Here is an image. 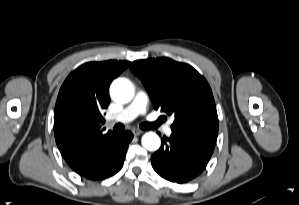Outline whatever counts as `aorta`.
I'll list each match as a JSON object with an SVG mask.
<instances>
[{
	"mask_svg": "<svg viewBox=\"0 0 299 205\" xmlns=\"http://www.w3.org/2000/svg\"><path fill=\"white\" fill-rule=\"evenodd\" d=\"M110 94L115 101L127 103L133 98L134 89L129 80L119 78L111 84ZM141 142L143 147L149 151H156L161 145L159 136L153 132L144 134Z\"/></svg>",
	"mask_w": 299,
	"mask_h": 205,
	"instance_id": "1",
	"label": "aorta"
}]
</instances>
